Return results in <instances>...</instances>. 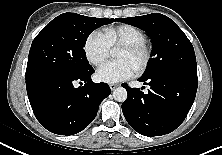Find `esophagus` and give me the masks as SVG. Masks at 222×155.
<instances>
[{
	"instance_id": "obj_1",
	"label": "esophagus",
	"mask_w": 222,
	"mask_h": 155,
	"mask_svg": "<svg viewBox=\"0 0 222 155\" xmlns=\"http://www.w3.org/2000/svg\"><path fill=\"white\" fill-rule=\"evenodd\" d=\"M109 87H110L111 90H114L115 88L118 87V84L111 83V84L109 85Z\"/></svg>"
}]
</instances>
